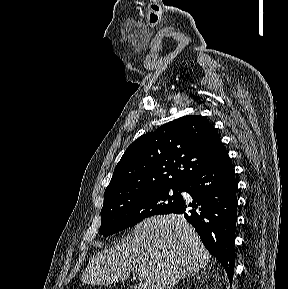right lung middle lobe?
<instances>
[{
    "mask_svg": "<svg viewBox=\"0 0 288 289\" xmlns=\"http://www.w3.org/2000/svg\"><path fill=\"white\" fill-rule=\"evenodd\" d=\"M181 188H152L116 194L104 198L100 234L109 236L141 220L168 214L182 200Z\"/></svg>",
    "mask_w": 288,
    "mask_h": 289,
    "instance_id": "right-lung-middle-lobe-1",
    "label": "right lung middle lobe"
}]
</instances>
